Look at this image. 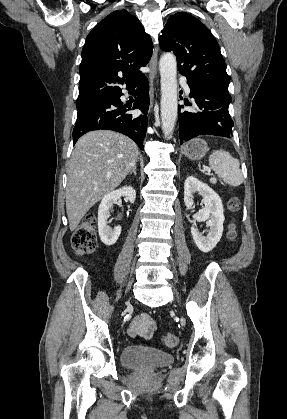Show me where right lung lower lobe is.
<instances>
[{"label": "right lung lower lobe", "mask_w": 287, "mask_h": 419, "mask_svg": "<svg viewBox=\"0 0 287 419\" xmlns=\"http://www.w3.org/2000/svg\"><path fill=\"white\" fill-rule=\"evenodd\" d=\"M130 94L135 96L132 109H139L143 115L135 117L127 113L131 105H123L119 94L105 98L98 104L92 106L84 113L77 116L73 130L74 144L77 139L93 130H113L131 138L143 149V141L147 130V110L149 107V84L143 76L137 83L127 87Z\"/></svg>", "instance_id": "1"}]
</instances>
